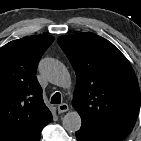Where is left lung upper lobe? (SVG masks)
Returning a JSON list of instances; mask_svg holds the SVG:
<instances>
[{
	"label": "left lung upper lobe",
	"mask_w": 141,
	"mask_h": 141,
	"mask_svg": "<svg viewBox=\"0 0 141 141\" xmlns=\"http://www.w3.org/2000/svg\"><path fill=\"white\" fill-rule=\"evenodd\" d=\"M57 41L76 72L72 104L81 116V128L111 140L125 139L140 107V89L129 61L111 42L91 32Z\"/></svg>",
	"instance_id": "left-lung-upper-lobe-1"
}]
</instances>
